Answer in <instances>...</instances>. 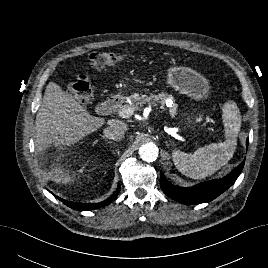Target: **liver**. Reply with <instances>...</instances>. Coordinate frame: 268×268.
I'll list each match as a JSON object with an SVG mask.
<instances>
[{
  "label": "liver",
  "instance_id": "obj_1",
  "mask_svg": "<svg viewBox=\"0 0 268 268\" xmlns=\"http://www.w3.org/2000/svg\"><path fill=\"white\" fill-rule=\"evenodd\" d=\"M104 124V118L90 115L80 101L63 91L55 82H49L36 115V150L41 155L43 150L53 146L62 152ZM107 124H119L126 129V124L120 120L110 119ZM64 171L65 169L57 164L47 175L58 184H73L75 180L77 181L75 175L70 176Z\"/></svg>",
  "mask_w": 268,
  "mask_h": 268
}]
</instances>
